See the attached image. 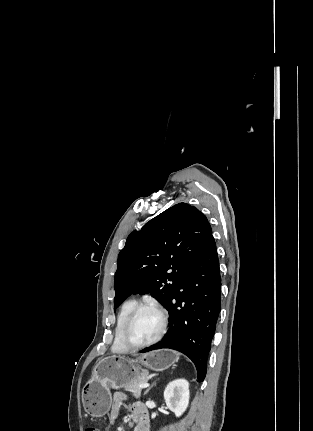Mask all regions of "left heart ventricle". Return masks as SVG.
Listing matches in <instances>:
<instances>
[{"instance_id": "left-heart-ventricle-1", "label": "left heart ventricle", "mask_w": 313, "mask_h": 431, "mask_svg": "<svg viewBox=\"0 0 313 431\" xmlns=\"http://www.w3.org/2000/svg\"><path fill=\"white\" fill-rule=\"evenodd\" d=\"M159 313L151 308L143 309L135 318L129 333L133 343L141 344L153 339L160 330Z\"/></svg>"}]
</instances>
